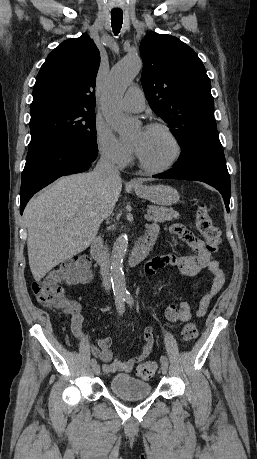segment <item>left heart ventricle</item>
<instances>
[{
  "mask_svg": "<svg viewBox=\"0 0 257 459\" xmlns=\"http://www.w3.org/2000/svg\"><path fill=\"white\" fill-rule=\"evenodd\" d=\"M133 144L151 166L166 164L175 152L171 139L159 129H140L133 138Z\"/></svg>",
  "mask_w": 257,
  "mask_h": 459,
  "instance_id": "obj_1",
  "label": "left heart ventricle"
}]
</instances>
